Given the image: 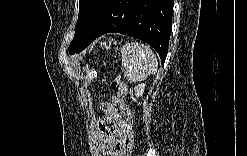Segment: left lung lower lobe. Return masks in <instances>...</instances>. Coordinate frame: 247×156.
Returning a JSON list of instances; mask_svg holds the SVG:
<instances>
[{"instance_id": "left-lung-lower-lobe-1", "label": "left lung lower lobe", "mask_w": 247, "mask_h": 156, "mask_svg": "<svg viewBox=\"0 0 247 156\" xmlns=\"http://www.w3.org/2000/svg\"><path fill=\"white\" fill-rule=\"evenodd\" d=\"M173 0H108L90 27L86 48L101 35L116 32L152 46L165 62L172 29Z\"/></svg>"}]
</instances>
